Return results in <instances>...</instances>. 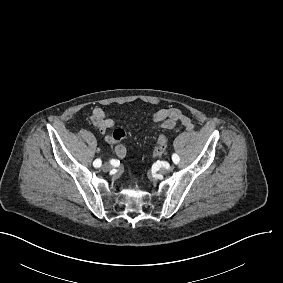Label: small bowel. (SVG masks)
<instances>
[{
  "label": "small bowel",
  "mask_w": 283,
  "mask_h": 283,
  "mask_svg": "<svg viewBox=\"0 0 283 283\" xmlns=\"http://www.w3.org/2000/svg\"><path fill=\"white\" fill-rule=\"evenodd\" d=\"M90 122L99 130L101 133H105L107 130L114 128L116 123L109 117L106 112L100 108H93L90 115ZM153 129H173L178 124H182L187 130L193 129V123L191 119L182 113L177 108L161 109L156 111L152 115ZM126 137V133L121 128H116L112 133L105 136V140L110 145H115V153L123 159L126 156V148L120 144Z\"/></svg>",
  "instance_id": "obj_1"
}]
</instances>
